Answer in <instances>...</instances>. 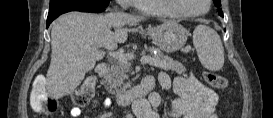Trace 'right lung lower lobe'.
I'll list each match as a JSON object with an SVG mask.
<instances>
[{
    "mask_svg": "<svg viewBox=\"0 0 273 118\" xmlns=\"http://www.w3.org/2000/svg\"><path fill=\"white\" fill-rule=\"evenodd\" d=\"M104 10L105 8L99 6L83 4L72 0H54L50 2V8L47 17V27L55 18L63 13L70 11L100 13Z\"/></svg>",
    "mask_w": 273,
    "mask_h": 118,
    "instance_id": "98d812e1",
    "label": "right lung lower lobe"
}]
</instances>
